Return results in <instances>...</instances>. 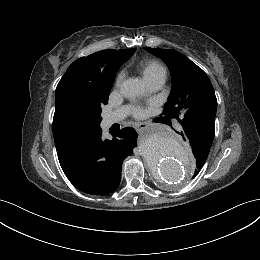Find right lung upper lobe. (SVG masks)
Wrapping results in <instances>:
<instances>
[{
  "label": "right lung upper lobe",
  "instance_id": "cb5924a9",
  "mask_svg": "<svg viewBox=\"0 0 260 260\" xmlns=\"http://www.w3.org/2000/svg\"><path fill=\"white\" fill-rule=\"evenodd\" d=\"M135 52V49L103 50L74 61L67 69L59 83L66 80L87 81L98 76H106L113 68L120 67ZM53 135L55 143L71 135L60 125L57 115L53 118Z\"/></svg>",
  "mask_w": 260,
  "mask_h": 260
}]
</instances>
